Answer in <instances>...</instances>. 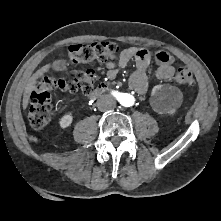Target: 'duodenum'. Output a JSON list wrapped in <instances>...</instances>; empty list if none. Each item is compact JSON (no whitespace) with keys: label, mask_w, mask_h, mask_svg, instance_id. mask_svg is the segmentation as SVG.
Masks as SVG:
<instances>
[{"label":"duodenum","mask_w":221,"mask_h":221,"mask_svg":"<svg viewBox=\"0 0 221 221\" xmlns=\"http://www.w3.org/2000/svg\"><path fill=\"white\" fill-rule=\"evenodd\" d=\"M109 90L110 88L107 85L102 84L94 90V92L91 94V97L92 98L100 97L101 95L108 92Z\"/></svg>","instance_id":"duodenum-1"}]
</instances>
